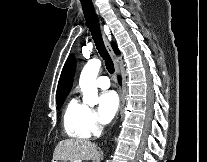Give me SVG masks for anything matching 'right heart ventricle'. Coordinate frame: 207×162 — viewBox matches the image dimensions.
<instances>
[{
	"mask_svg": "<svg viewBox=\"0 0 207 162\" xmlns=\"http://www.w3.org/2000/svg\"><path fill=\"white\" fill-rule=\"evenodd\" d=\"M88 112V107L77 98L70 99L63 113V127L67 135L76 139L91 137Z\"/></svg>",
	"mask_w": 207,
	"mask_h": 162,
	"instance_id": "e07e8e85",
	"label": "right heart ventricle"
}]
</instances>
